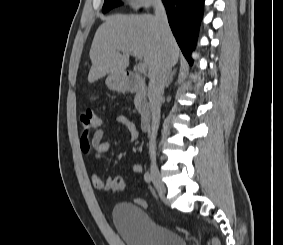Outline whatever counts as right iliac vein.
<instances>
[{
    "label": "right iliac vein",
    "instance_id": "obj_1",
    "mask_svg": "<svg viewBox=\"0 0 283 245\" xmlns=\"http://www.w3.org/2000/svg\"><path fill=\"white\" fill-rule=\"evenodd\" d=\"M150 174L156 190L158 191L160 196L165 197L166 189L163 182L161 181L159 170L154 161L151 162Z\"/></svg>",
    "mask_w": 283,
    "mask_h": 245
}]
</instances>
